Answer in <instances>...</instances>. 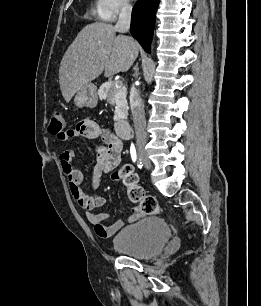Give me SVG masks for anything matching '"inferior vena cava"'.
I'll return each mask as SVG.
<instances>
[{
  "label": "inferior vena cava",
  "instance_id": "602c4592",
  "mask_svg": "<svg viewBox=\"0 0 261 306\" xmlns=\"http://www.w3.org/2000/svg\"><path fill=\"white\" fill-rule=\"evenodd\" d=\"M131 10L132 7L130 4L126 2L122 3L118 21L114 27L116 31L120 33H126L129 31ZM130 106L136 133L145 135L144 105L140 94L134 85H132L130 90Z\"/></svg>",
  "mask_w": 261,
  "mask_h": 306
}]
</instances>
